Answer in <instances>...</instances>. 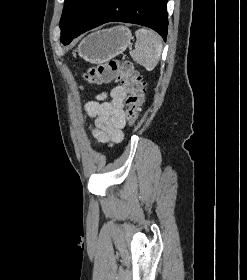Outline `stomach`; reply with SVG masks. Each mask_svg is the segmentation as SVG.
<instances>
[{"mask_svg":"<svg viewBox=\"0 0 247 280\" xmlns=\"http://www.w3.org/2000/svg\"><path fill=\"white\" fill-rule=\"evenodd\" d=\"M131 40V31L124 26L98 30L81 41L78 53L86 61L100 64L123 53Z\"/></svg>","mask_w":247,"mask_h":280,"instance_id":"1","label":"stomach"}]
</instances>
